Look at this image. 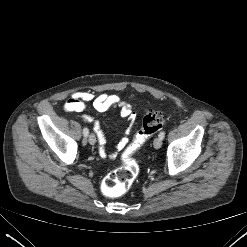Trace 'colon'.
Here are the masks:
<instances>
[{
    "mask_svg": "<svg viewBox=\"0 0 247 247\" xmlns=\"http://www.w3.org/2000/svg\"><path fill=\"white\" fill-rule=\"evenodd\" d=\"M163 125V116L154 110L149 111L142 120V125L135 135L133 142L127 147L122 156V166L111 171L103 180V192L110 197L123 194L133 183L138 174V165L133 154Z\"/></svg>",
    "mask_w": 247,
    "mask_h": 247,
    "instance_id": "5ec220e1",
    "label": "colon"
}]
</instances>
